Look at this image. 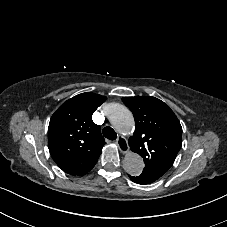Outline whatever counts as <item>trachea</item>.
I'll use <instances>...</instances> for the list:
<instances>
[{
	"mask_svg": "<svg viewBox=\"0 0 227 227\" xmlns=\"http://www.w3.org/2000/svg\"><path fill=\"white\" fill-rule=\"evenodd\" d=\"M103 136L109 140H115L117 138V134L112 127H105L102 130Z\"/></svg>",
	"mask_w": 227,
	"mask_h": 227,
	"instance_id": "3493384b",
	"label": "trachea"
}]
</instances>
